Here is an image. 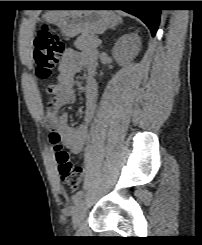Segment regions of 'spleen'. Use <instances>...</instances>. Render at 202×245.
Instances as JSON below:
<instances>
[{
	"label": "spleen",
	"instance_id": "obj_1",
	"mask_svg": "<svg viewBox=\"0 0 202 245\" xmlns=\"http://www.w3.org/2000/svg\"><path fill=\"white\" fill-rule=\"evenodd\" d=\"M119 21L122 22V18L119 17Z\"/></svg>",
	"mask_w": 202,
	"mask_h": 245
}]
</instances>
